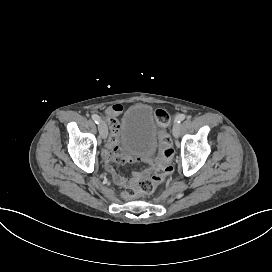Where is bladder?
<instances>
[{
    "instance_id": "31cf9c89",
    "label": "bladder",
    "mask_w": 272,
    "mask_h": 272,
    "mask_svg": "<svg viewBox=\"0 0 272 272\" xmlns=\"http://www.w3.org/2000/svg\"><path fill=\"white\" fill-rule=\"evenodd\" d=\"M159 111L145 103L131 104L124 112L120 126V140L129 149L135 145L141 146V152L154 154L160 142L157 134L161 131L162 123ZM148 160V159H147Z\"/></svg>"
}]
</instances>
